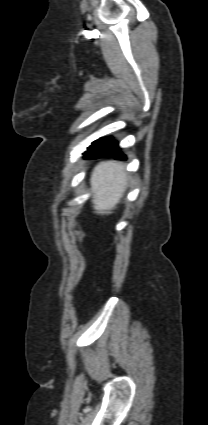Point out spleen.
I'll return each instance as SVG.
<instances>
[{
    "label": "spleen",
    "mask_w": 208,
    "mask_h": 425,
    "mask_svg": "<svg viewBox=\"0 0 208 425\" xmlns=\"http://www.w3.org/2000/svg\"><path fill=\"white\" fill-rule=\"evenodd\" d=\"M128 178L124 166L114 161L101 162L94 168L90 182L96 213H111L123 197Z\"/></svg>",
    "instance_id": "3e777b00"
}]
</instances>
